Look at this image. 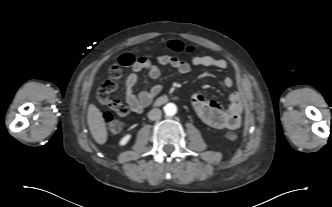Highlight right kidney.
I'll list each match as a JSON object with an SVG mask.
<instances>
[{
  "instance_id": "obj_1",
  "label": "right kidney",
  "mask_w": 332,
  "mask_h": 207,
  "mask_svg": "<svg viewBox=\"0 0 332 207\" xmlns=\"http://www.w3.org/2000/svg\"><path fill=\"white\" fill-rule=\"evenodd\" d=\"M130 139H131V134H127V135H125V136L120 140L119 145H120V146H124V145H126V144L129 142Z\"/></svg>"
}]
</instances>
